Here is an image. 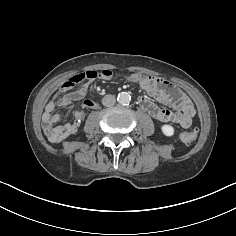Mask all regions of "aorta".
<instances>
[{
    "label": "aorta",
    "instance_id": "obj_1",
    "mask_svg": "<svg viewBox=\"0 0 236 236\" xmlns=\"http://www.w3.org/2000/svg\"><path fill=\"white\" fill-rule=\"evenodd\" d=\"M117 101L121 104V105H127L130 103L131 101V96L130 94H128L127 92H121L118 94L117 96Z\"/></svg>",
    "mask_w": 236,
    "mask_h": 236
}]
</instances>
